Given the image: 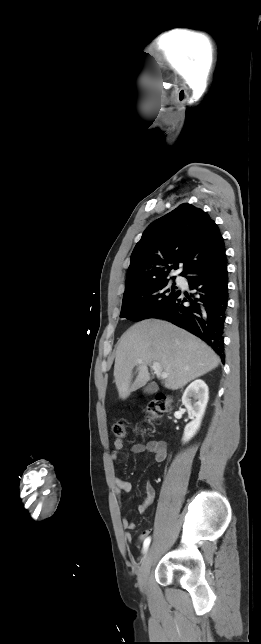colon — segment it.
<instances>
[{"instance_id":"colon-1","label":"colon","mask_w":261,"mask_h":644,"mask_svg":"<svg viewBox=\"0 0 261 644\" xmlns=\"http://www.w3.org/2000/svg\"><path fill=\"white\" fill-rule=\"evenodd\" d=\"M171 398L165 394H158L146 409L149 419H156L171 408ZM113 433L117 439H124L127 436V425L124 421H117L113 425Z\"/></svg>"}]
</instances>
